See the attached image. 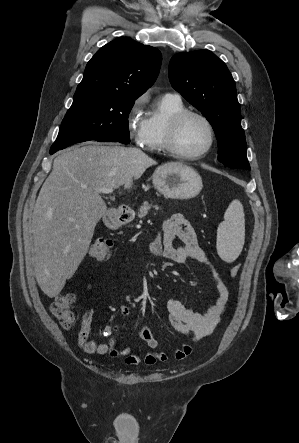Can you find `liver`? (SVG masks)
I'll return each mask as SVG.
<instances>
[{
    "instance_id": "obj_1",
    "label": "liver",
    "mask_w": 299,
    "mask_h": 443,
    "mask_svg": "<svg viewBox=\"0 0 299 443\" xmlns=\"http://www.w3.org/2000/svg\"><path fill=\"white\" fill-rule=\"evenodd\" d=\"M153 165L142 150L117 145L72 147L54 159L32 217L35 276L48 297L74 275L107 211L98 189L129 190Z\"/></svg>"
}]
</instances>
